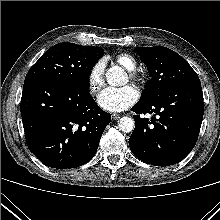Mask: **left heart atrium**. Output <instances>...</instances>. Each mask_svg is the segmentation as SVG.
<instances>
[{
  "instance_id": "1",
  "label": "left heart atrium",
  "mask_w": 220,
  "mask_h": 220,
  "mask_svg": "<svg viewBox=\"0 0 220 220\" xmlns=\"http://www.w3.org/2000/svg\"><path fill=\"white\" fill-rule=\"evenodd\" d=\"M137 90L130 85L123 87H107L98 96L99 106L109 112H121L138 100Z\"/></svg>"
}]
</instances>
